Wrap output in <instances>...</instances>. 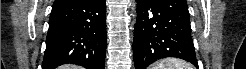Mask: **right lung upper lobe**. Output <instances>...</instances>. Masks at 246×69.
I'll return each mask as SVG.
<instances>
[{"instance_id": "right-lung-upper-lobe-1", "label": "right lung upper lobe", "mask_w": 246, "mask_h": 69, "mask_svg": "<svg viewBox=\"0 0 246 69\" xmlns=\"http://www.w3.org/2000/svg\"><path fill=\"white\" fill-rule=\"evenodd\" d=\"M69 1V0H55V2Z\"/></svg>"}]
</instances>
